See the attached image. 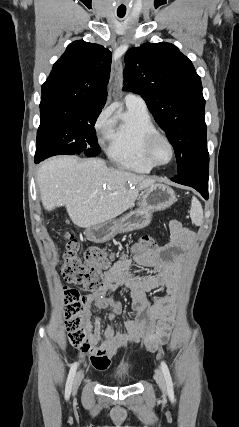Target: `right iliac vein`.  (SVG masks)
I'll use <instances>...</instances> for the list:
<instances>
[{"label": "right iliac vein", "instance_id": "63e3f726", "mask_svg": "<svg viewBox=\"0 0 239 427\" xmlns=\"http://www.w3.org/2000/svg\"><path fill=\"white\" fill-rule=\"evenodd\" d=\"M83 376H84L83 371L80 370L77 372L75 379H74V383H73V394H76V392H77V390L81 384V381L83 379Z\"/></svg>", "mask_w": 239, "mask_h": 427}]
</instances>
